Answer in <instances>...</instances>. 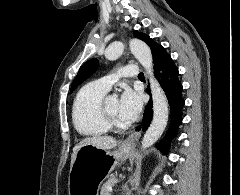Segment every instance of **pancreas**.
I'll return each mask as SVG.
<instances>
[{"label": "pancreas", "instance_id": "1", "mask_svg": "<svg viewBox=\"0 0 240 195\" xmlns=\"http://www.w3.org/2000/svg\"><path fill=\"white\" fill-rule=\"evenodd\" d=\"M115 183H118V179H116V177H112V179H108L106 183H103L101 187L100 195H110L108 185H111V187H113Z\"/></svg>", "mask_w": 240, "mask_h": 195}]
</instances>
